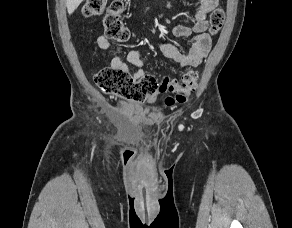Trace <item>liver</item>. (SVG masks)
I'll use <instances>...</instances> for the list:
<instances>
[{"label": "liver", "instance_id": "liver-1", "mask_svg": "<svg viewBox=\"0 0 292 228\" xmlns=\"http://www.w3.org/2000/svg\"><path fill=\"white\" fill-rule=\"evenodd\" d=\"M83 0H66L68 14H72Z\"/></svg>", "mask_w": 292, "mask_h": 228}]
</instances>
